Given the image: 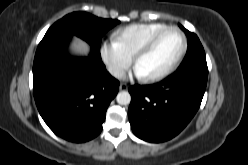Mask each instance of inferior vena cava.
<instances>
[{
	"label": "inferior vena cava",
	"mask_w": 248,
	"mask_h": 165,
	"mask_svg": "<svg viewBox=\"0 0 248 165\" xmlns=\"http://www.w3.org/2000/svg\"><path fill=\"white\" fill-rule=\"evenodd\" d=\"M108 71L117 78H121L125 75V71L122 68L119 67H110Z\"/></svg>",
	"instance_id": "602c4592"
}]
</instances>
